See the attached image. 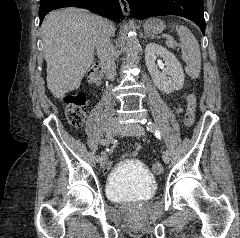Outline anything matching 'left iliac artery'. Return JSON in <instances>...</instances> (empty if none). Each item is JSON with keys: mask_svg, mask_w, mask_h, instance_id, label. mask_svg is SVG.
<instances>
[{"mask_svg": "<svg viewBox=\"0 0 240 238\" xmlns=\"http://www.w3.org/2000/svg\"><path fill=\"white\" fill-rule=\"evenodd\" d=\"M146 128H147L148 131H151V132H153V130L156 129L154 123H152V122H148L147 125H146ZM162 154L166 155V154H168V152L166 150H163Z\"/></svg>", "mask_w": 240, "mask_h": 238, "instance_id": "obj_1", "label": "left iliac artery"}]
</instances>
